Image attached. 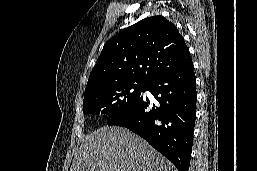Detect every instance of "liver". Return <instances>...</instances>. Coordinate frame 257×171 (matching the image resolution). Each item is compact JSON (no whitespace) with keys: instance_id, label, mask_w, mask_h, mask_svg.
Returning <instances> with one entry per match:
<instances>
[{"instance_id":"obj_1","label":"liver","mask_w":257,"mask_h":171,"mask_svg":"<svg viewBox=\"0 0 257 171\" xmlns=\"http://www.w3.org/2000/svg\"><path fill=\"white\" fill-rule=\"evenodd\" d=\"M70 171H171L144 139L118 127H102L83 139Z\"/></svg>"}]
</instances>
